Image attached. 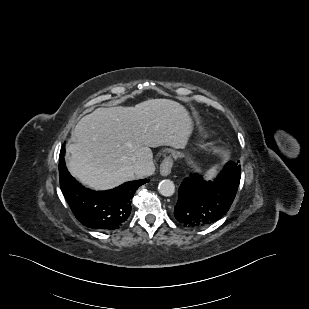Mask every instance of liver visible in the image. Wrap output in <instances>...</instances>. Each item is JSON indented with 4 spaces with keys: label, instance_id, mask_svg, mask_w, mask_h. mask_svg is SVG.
Instances as JSON below:
<instances>
[{
    "label": "liver",
    "instance_id": "obj_1",
    "mask_svg": "<svg viewBox=\"0 0 309 309\" xmlns=\"http://www.w3.org/2000/svg\"><path fill=\"white\" fill-rule=\"evenodd\" d=\"M191 118L179 103L150 99L134 107L97 108L75 126L67 167L81 183L107 190L155 171L150 147L182 148ZM134 160L143 165L134 171Z\"/></svg>",
    "mask_w": 309,
    "mask_h": 309
}]
</instances>
